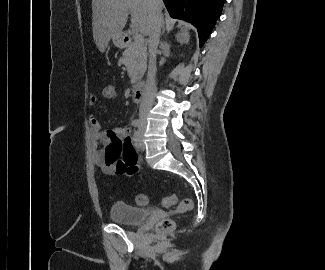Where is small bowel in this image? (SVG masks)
Segmentation results:
<instances>
[{"label": "small bowel", "instance_id": "c3829d8e", "mask_svg": "<svg viewBox=\"0 0 325 270\" xmlns=\"http://www.w3.org/2000/svg\"><path fill=\"white\" fill-rule=\"evenodd\" d=\"M97 101L96 95H90L88 98V104L91 106ZM88 126L93 161L104 174L118 176L124 173L132 174L138 170L137 153L131 143L130 128L115 126L102 130L94 116L89 117Z\"/></svg>", "mask_w": 325, "mask_h": 270}]
</instances>
